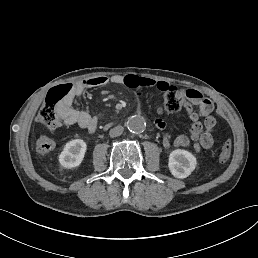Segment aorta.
Wrapping results in <instances>:
<instances>
[{"label":"aorta","mask_w":258,"mask_h":258,"mask_svg":"<svg viewBox=\"0 0 258 258\" xmlns=\"http://www.w3.org/2000/svg\"><path fill=\"white\" fill-rule=\"evenodd\" d=\"M127 128L131 133L140 134L146 129V119L141 115H134L128 119Z\"/></svg>","instance_id":"aorta-1"}]
</instances>
